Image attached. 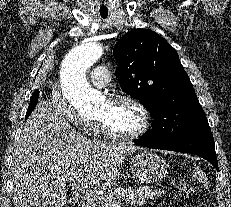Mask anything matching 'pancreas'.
<instances>
[{
    "instance_id": "obj_1",
    "label": "pancreas",
    "mask_w": 231,
    "mask_h": 207,
    "mask_svg": "<svg viewBox=\"0 0 231 207\" xmlns=\"http://www.w3.org/2000/svg\"><path fill=\"white\" fill-rule=\"evenodd\" d=\"M165 195V191L158 190L156 188H150L148 186L140 188L131 187H118L109 191L102 201H90L86 207H108L109 203H121L126 202L130 205L142 206L149 199H153L154 196L160 197Z\"/></svg>"
}]
</instances>
